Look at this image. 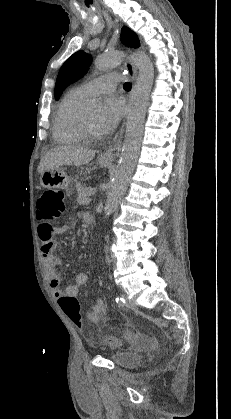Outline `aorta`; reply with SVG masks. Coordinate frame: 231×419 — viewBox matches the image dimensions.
<instances>
[{
  "mask_svg": "<svg viewBox=\"0 0 231 419\" xmlns=\"http://www.w3.org/2000/svg\"><path fill=\"white\" fill-rule=\"evenodd\" d=\"M124 57L121 51H114L98 56L95 68L106 71L118 66ZM139 73L129 99L125 138L117 170L113 177L110 191L104 207L105 218L115 210L117 203L125 193L134 172L143 138L144 123L148 100L154 80V67L150 58L142 52L131 56Z\"/></svg>",
  "mask_w": 231,
  "mask_h": 419,
  "instance_id": "1",
  "label": "aorta"
}]
</instances>
